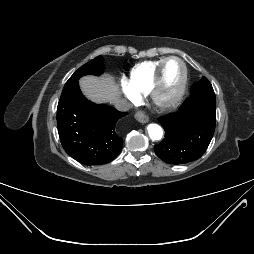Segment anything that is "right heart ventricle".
<instances>
[{
    "instance_id": "1",
    "label": "right heart ventricle",
    "mask_w": 254,
    "mask_h": 254,
    "mask_svg": "<svg viewBox=\"0 0 254 254\" xmlns=\"http://www.w3.org/2000/svg\"><path fill=\"white\" fill-rule=\"evenodd\" d=\"M163 60L164 58L145 61L132 68L129 83L139 95H145L148 93L153 82L155 72Z\"/></svg>"
}]
</instances>
